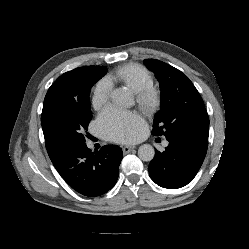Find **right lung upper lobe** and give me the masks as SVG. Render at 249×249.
I'll return each mask as SVG.
<instances>
[{"label": "right lung upper lobe", "mask_w": 249, "mask_h": 249, "mask_svg": "<svg viewBox=\"0 0 249 249\" xmlns=\"http://www.w3.org/2000/svg\"><path fill=\"white\" fill-rule=\"evenodd\" d=\"M86 70L87 66L68 71L52 84L44 99L41 120H43L50 111L56 108L65 97L72 94L82 80ZM45 143L48 154H52L55 148L50 145L46 138Z\"/></svg>", "instance_id": "cb5924a9"}]
</instances>
